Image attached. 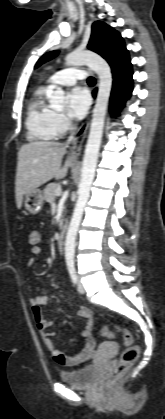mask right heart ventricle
Instances as JSON below:
<instances>
[{
	"label": "right heart ventricle",
	"mask_w": 165,
	"mask_h": 419,
	"mask_svg": "<svg viewBox=\"0 0 165 419\" xmlns=\"http://www.w3.org/2000/svg\"><path fill=\"white\" fill-rule=\"evenodd\" d=\"M47 87L41 86L35 90L27 107V136L34 141H50L57 138L54 124L55 111L46 102Z\"/></svg>",
	"instance_id": "1"
}]
</instances>
